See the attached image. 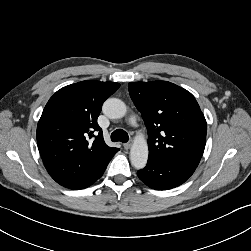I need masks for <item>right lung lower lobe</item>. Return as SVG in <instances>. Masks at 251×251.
<instances>
[{"instance_id": "right-lung-lower-lobe-1", "label": "right lung lower lobe", "mask_w": 251, "mask_h": 251, "mask_svg": "<svg viewBox=\"0 0 251 251\" xmlns=\"http://www.w3.org/2000/svg\"><path fill=\"white\" fill-rule=\"evenodd\" d=\"M109 161L102 168H100L97 172H95L93 175H91L90 177H88L86 179H80V180L72 181L69 183L60 182L59 184L66 187V188L75 189V190L84 189L86 187H89L90 185H92L95 181H97L103 175Z\"/></svg>"}]
</instances>
